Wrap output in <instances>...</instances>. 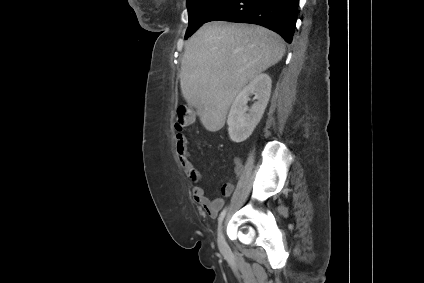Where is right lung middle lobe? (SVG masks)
Here are the masks:
<instances>
[{
  "label": "right lung middle lobe",
  "instance_id": "obj_1",
  "mask_svg": "<svg viewBox=\"0 0 424 283\" xmlns=\"http://www.w3.org/2000/svg\"><path fill=\"white\" fill-rule=\"evenodd\" d=\"M229 0H187L189 26L185 39L190 37L199 27L212 17Z\"/></svg>",
  "mask_w": 424,
  "mask_h": 283
}]
</instances>
